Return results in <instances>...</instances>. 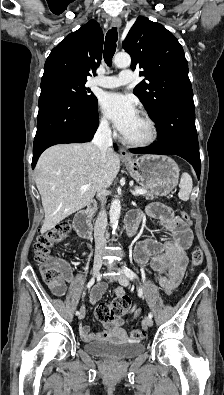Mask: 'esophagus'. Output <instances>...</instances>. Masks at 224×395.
Instances as JSON below:
<instances>
[{
    "label": "esophagus",
    "instance_id": "1",
    "mask_svg": "<svg viewBox=\"0 0 224 395\" xmlns=\"http://www.w3.org/2000/svg\"><path fill=\"white\" fill-rule=\"evenodd\" d=\"M111 26L113 28H120L121 27V20L120 19H113L111 22ZM119 154H120L121 159H130V155L124 148H120Z\"/></svg>",
    "mask_w": 224,
    "mask_h": 395
}]
</instances>
